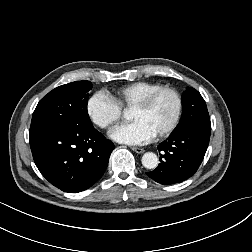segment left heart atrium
Segmentation results:
<instances>
[{
  "instance_id": "left-heart-atrium-1",
  "label": "left heart atrium",
  "mask_w": 252,
  "mask_h": 252,
  "mask_svg": "<svg viewBox=\"0 0 252 252\" xmlns=\"http://www.w3.org/2000/svg\"><path fill=\"white\" fill-rule=\"evenodd\" d=\"M111 137L117 142L128 145H141L155 137V132L143 121L134 120L114 128Z\"/></svg>"
}]
</instances>
